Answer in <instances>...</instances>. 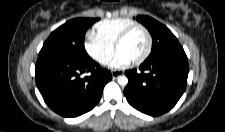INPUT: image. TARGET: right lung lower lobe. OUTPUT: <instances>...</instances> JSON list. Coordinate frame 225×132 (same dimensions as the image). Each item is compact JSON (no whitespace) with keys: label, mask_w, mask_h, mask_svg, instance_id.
<instances>
[{"label":"right lung lower lobe","mask_w":225,"mask_h":132,"mask_svg":"<svg viewBox=\"0 0 225 132\" xmlns=\"http://www.w3.org/2000/svg\"><path fill=\"white\" fill-rule=\"evenodd\" d=\"M89 56L74 58L56 53H39L36 83L46 104L64 117H77L99 102L111 72L99 69ZM91 72L84 78L81 74Z\"/></svg>","instance_id":"right-lung-lower-lobe-1"}]
</instances>
